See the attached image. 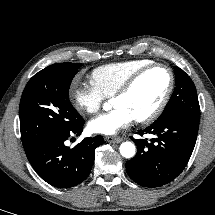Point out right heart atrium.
Masks as SVG:
<instances>
[{"label":"right heart atrium","mask_w":215,"mask_h":215,"mask_svg":"<svg viewBox=\"0 0 215 215\" xmlns=\"http://www.w3.org/2000/svg\"><path fill=\"white\" fill-rule=\"evenodd\" d=\"M69 98L78 112L87 114L97 113L106 99L92 81H82L79 78L72 82Z\"/></svg>","instance_id":"obj_1"}]
</instances>
